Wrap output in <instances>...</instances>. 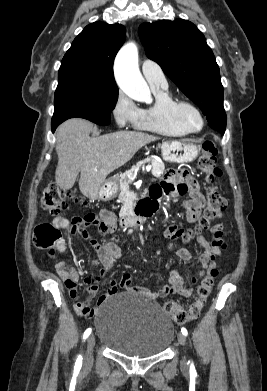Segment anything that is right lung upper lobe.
<instances>
[{
  "instance_id": "obj_1",
  "label": "right lung upper lobe",
  "mask_w": 267,
  "mask_h": 391,
  "mask_svg": "<svg viewBox=\"0 0 267 391\" xmlns=\"http://www.w3.org/2000/svg\"><path fill=\"white\" fill-rule=\"evenodd\" d=\"M125 35L126 29L121 24H89L74 39L63 57L58 78L89 74L115 81L113 62Z\"/></svg>"
}]
</instances>
